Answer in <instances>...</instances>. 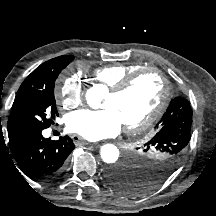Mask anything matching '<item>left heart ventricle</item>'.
Returning a JSON list of instances; mask_svg holds the SVG:
<instances>
[{"label": "left heart ventricle", "mask_w": 216, "mask_h": 216, "mask_svg": "<svg viewBox=\"0 0 216 216\" xmlns=\"http://www.w3.org/2000/svg\"><path fill=\"white\" fill-rule=\"evenodd\" d=\"M162 82L154 72L141 75L123 94H108L103 107L112 108L124 125H134L144 120L156 107L162 95Z\"/></svg>", "instance_id": "1"}]
</instances>
